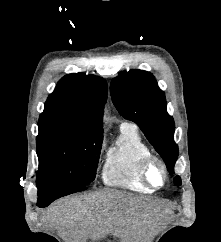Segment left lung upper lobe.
Instances as JSON below:
<instances>
[{
  "mask_svg": "<svg viewBox=\"0 0 221 242\" xmlns=\"http://www.w3.org/2000/svg\"><path fill=\"white\" fill-rule=\"evenodd\" d=\"M110 93L119 113L140 127L173 174L178 158L175 124L167 113L165 95L154 76L142 70L121 72L112 80ZM174 182L181 185L180 177L176 176Z\"/></svg>",
  "mask_w": 221,
  "mask_h": 242,
  "instance_id": "left-lung-upper-lobe-1",
  "label": "left lung upper lobe"
}]
</instances>
